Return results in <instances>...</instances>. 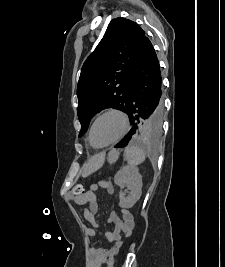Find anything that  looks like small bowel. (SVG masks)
<instances>
[{
  "instance_id": "small-bowel-1",
  "label": "small bowel",
  "mask_w": 225,
  "mask_h": 267,
  "mask_svg": "<svg viewBox=\"0 0 225 267\" xmlns=\"http://www.w3.org/2000/svg\"><path fill=\"white\" fill-rule=\"evenodd\" d=\"M101 186L108 193L114 192V186L110 181H101L98 184H93L91 190L86 192L82 197L69 196L76 205L83 207L84 218L92 225L86 228V234L89 237H94L95 229L100 225L95 219V213L99 209L98 200L96 198V190ZM108 222L115 226L113 231L106 232L107 247H92L89 251L91 267H102L104 263L108 262L114 255H116L121 248L123 241L122 237H129L134 229L133 216L128 209L121 210V216L116 212H112L108 218Z\"/></svg>"
}]
</instances>
